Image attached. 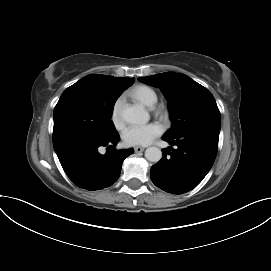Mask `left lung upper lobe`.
I'll return each mask as SVG.
<instances>
[{
	"label": "left lung upper lobe",
	"mask_w": 271,
	"mask_h": 271,
	"mask_svg": "<svg viewBox=\"0 0 271 271\" xmlns=\"http://www.w3.org/2000/svg\"><path fill=\"white\" fill-rule=\"evenodd\" d=\"M139 81L159 87L169 101L172 127L164 137L197 130L220 131L221 117L213 95L187 75L166 72Z\"/></svg>",
	"instance_id": "5c2ea615"
}]
</instances>
